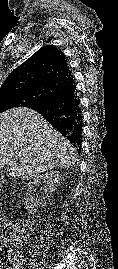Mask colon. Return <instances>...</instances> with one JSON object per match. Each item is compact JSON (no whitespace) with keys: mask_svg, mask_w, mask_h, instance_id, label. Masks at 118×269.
I'll return each mask as SVG.
<instances>
[{"mask_svg":"<svg viewBox=\"0 0 118 269\" xmlns=\"http://www.w3.org/2000/svg\"><path fill=\"white\" fill-rule=\"evenodd\" d=\"M17 236L9 233L0 237V265L9 266L14 262Z\"/></svg>","mask_w":118,"mask_h":269,"instance_id":"5ec220e1","label":"colon"}]
</instances>
